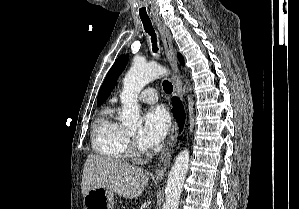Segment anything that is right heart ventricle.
<instances>
[{
  "mask_svg": "<svg viewBox=\"0 0 299 209\" xmlns=\"http://www.w3.org/2000/svg\"><path fill=\"white\" fill-rule=\"evenodd\" d=\"M93 149L110 159L125 160L128 157V135L125 128L108 111L95 123L92 131Z\"/></svg>",
  "mask_w": 299,
  "mask_h": 209,
  "instance_id": "right-heart-ventricle-1",
  "label": "right heart ventricle"
}]
</instances>
